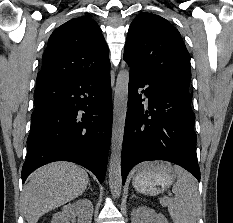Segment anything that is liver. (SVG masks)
<instances>
[{
  "label": "liver",
  "instance_id": "6515ba94",
  "mask_svg": "<svg viewBox=\"0 0 233 223\" xmlns=\"http://www.w3.org/2000/svg\"><path fill=\"white\" fill-rule=\"evenodd\" d=\"M87 183V171L68 161H54L33 171L22 195L23 213L28 223H37L50 209L79 197Z\"/></svg>",
  "mask_w": 233,
  "mask_h": 223
}]
</instances>
